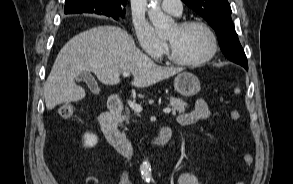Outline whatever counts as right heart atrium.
Segmentation results:
<instances>
[{
	"label": "right heart atrium",
	"mask_w": 293,
	"mask_h": 184,
	"mask_svg": "<svg viewBox=\"0 0 293 184\" xmlns=\"http://www.w3.org/2000/svg\"><path fill=\"white\" fill-rule=\"evenodd\" d=\"M134 31L141 49L154 59L162 56L166 49L165 43L160 40L153 29L144 21L134 22Z\"/></svg>",
	"instance_id": "right-heart-atrium-1"
}]
</instances>
